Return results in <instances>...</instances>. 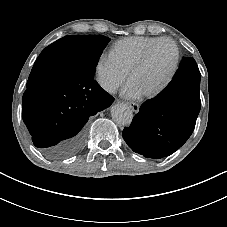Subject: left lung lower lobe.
Returning <instances> with one entry per match:
<instances>
[{"instance_id":"1","label":"left lung lower lobe","mask_w":227,"mask_h":227,"mask_svg":"<svg viewBox=\"0 0 227 227\" xmlns=\"http://www.w3.org/2000/svg\"><path fill=\"white\" fill-rule=\"evenodd\" d=\"M200 72L193 58H183L168 86L141 105L123 138L136 153L163 158L179 149L192 134L200 111Z\"/></svg>"}]
</instances>
